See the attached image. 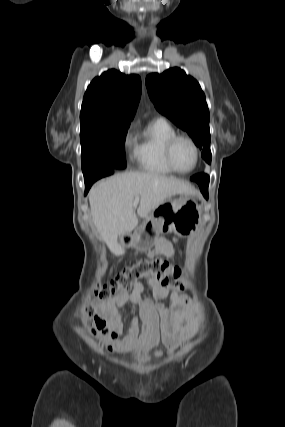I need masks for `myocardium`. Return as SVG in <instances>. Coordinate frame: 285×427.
<instances>
[{
	"mask_svg": "<svg viewBox=\"0 0 285 427\" xmlns=\"http://www.w3.org/2000/svg\"><path fill=\"white\" fill-rule=\"evenodd\" d=\"M179 140H186V141H188L192 145V147L194 149V152H195V162H194V165L192 166V168H190L187 171H182V170L178 169L176 167L174 161H173V149H174L175 144ZM164 154H165V160H166L168 166L174 172H176L178 174H189V173L193 172L197 168L198 163H199V159H200V150H199V147H198L197 143L194 141V139H192L190 136L185 135V134H176L173 137H171L167 141V143H166Z\"/></svg>",
	"mask_w": 285,
	"mask_h": 427,
	"instance_id": "obj_1",
	"label": "myocardium"
}]
</instances>
